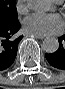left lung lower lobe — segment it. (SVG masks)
Returning <instances> with one entry per match:
<instances>
[{"label": "left lung lower lobe", "mask_w": 65, "mask_h": 89, "mask_svg": "<svg viewBox=\"0 0 65 89\" xmlns=\"http://www.w3.org/2000/svg\"><path fill=\"white\" fill-rule=\"evenodd\" d=\"M58 41V51L51 54H45V57L54 68L65 70V35L59 37Z\"/></svg>", "instance_id": "1"}]
</instances>
